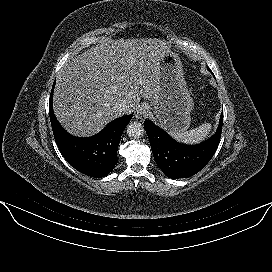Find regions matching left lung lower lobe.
I'll return each instance as SVG.
<instances>
[{
    "mask_svg": "<svg viewBox=\"0 0 272 272\" xmlns=\"http://www.w3.org/2000/svg\"><path fill=\"white\" fill-rule=\"evenodd\" d=\"M223 112L216 133L197 145H184L173 140L151 121L144 122L154 159L170 178H188L202 170L213 157L220 141Z\"/></svg>",
    "mask_w": 272,
    "mask_h": 272,
    "instance_id": "left-lung-lower-lobe-1",
    "label": "left lung lower lobe"
}]
</instances>
